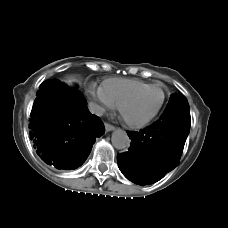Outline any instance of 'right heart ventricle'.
I'll return each mask as SVG.
<instances>
[{"label":"right heart ventricle","mask_w":228,"mask_h":228,"mask_svg":"<svg viewBox=\"0 0 228 228\" xmlns=\"http://www.w3.org/2000/svg\"><path fill=\"white\" fill-rule=\"evenodd\" d=\"M148 86L150 84L137 79L109 78L103 81L101 89L106 97L118 106L127 95Z\"/></svg>","instance_id":"right-heart-ventricle-1"}]
</instances>
